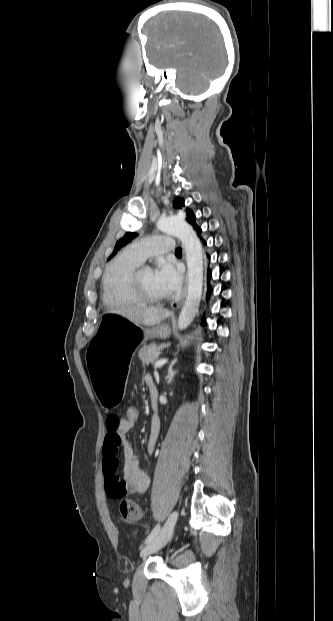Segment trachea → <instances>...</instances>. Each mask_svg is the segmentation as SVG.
<instances>
[{
    "label": "trachea",
    "mask_w": 333,
    "mask_h": 621,
    "mask_svg": "<svg viewBox=\"0 0 333 621\" xmlns=\"http://www.w3.org/2000/svg\"><path fill=\"white\" fill-rule=\"evenodd\" d=\"M181 252H182L181 247H178V248L175 250V253H177V254H178V253H181Z\"/></svg>",
    "instance_id": "3493384b"
}]
</instances>
